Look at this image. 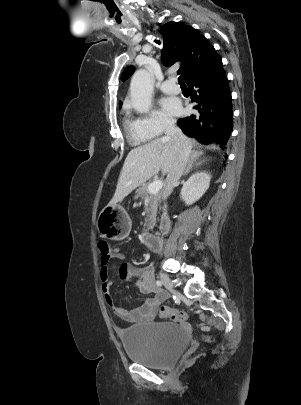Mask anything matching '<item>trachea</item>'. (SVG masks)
Segmentation results:
<instances>
[{
	"instance_id": "trachea-1",
	"label": "trachea",
	"mask_w": 301,
	"mask_h": 405,
	"mask_svg": "<svg viewBox=\"0 0 301 405\" xmlns=\"http://www.w3.org/2000/svg\"><path fill=\"white\" fill-rule=\"evenodd\" d=\"M155 42L157 44H160V41H158V40H155ZM178 83H179L180 86H186L182 76L178 77Z\"/></svg>"
}]
</instances>
